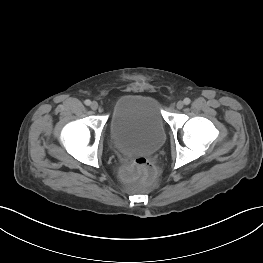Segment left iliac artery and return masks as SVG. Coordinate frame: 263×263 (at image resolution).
Wrapping results in <instances>:
<instances>
[{"mask_svg":"<svg viewBox=\"0 0 263 263\" xmlns=\"http://www.w3.org/2000/svg\"><path fill=\"white\" fill-rule=\"evenodd\" d=\"M191 100L189 98H185L184 99V104L188 105L190 104Z\"/></svg>","mask_w":263,"mask_h":263,"instance_id":"left-iliac-artery-1","label":"left iliac artery"}]
</instances>
